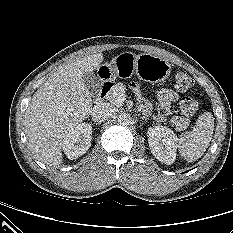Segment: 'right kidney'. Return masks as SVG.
<instances>
[{
    "instance_id": "ca27d5eb",
    "label": "right kidney",
    "mask_w": 233,
    "mask_h": 233,
    "mask_svg": "<svg viewBox=\"0 0 233 233\" xmlns=\"http://www.w3.org/2000/svg\"><path fill=\"white\" fill-rule=\"evenodd\" d=\"M91 140V124L81 123L76 125L65 135L62 142V149L69 159H77L89 149Z\"/></svg>"
}]
</instances>
